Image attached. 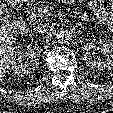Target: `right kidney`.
<instances>
[{
	"label": "right kidney",
	"instance_id": "obj_1",
	"mask_svg": "<svg viewBox=\"0 0 113 113\" xmlns=\"http://www.w3.org/2000/svg\"><path fill=\"white\" fill-rule=\"evenodd\" d=\"M30 58V62H27ZM40 50L37 47L29 48L23 51L20 46L16 51L15 58L12 62V71L17 76L29 75L34 72L39 64Z\"/></svg>",
	"mask_w": 113,
	"mask_h": 113
}]
</instances>
